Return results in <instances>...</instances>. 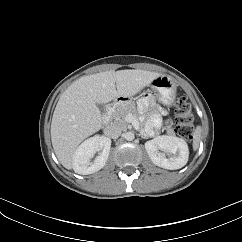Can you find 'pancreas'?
<instances>
[{
	"instance_id": "cf45deb5",
	"label": "pancreas",
	"mask_w": 242,
	"mask_h": 242,
	"mask_svg": "<svg viewBox=\"0 0 242 242\" xmlns=\"http://www.w3.org/2000/svg\"><path fill=\"white\" fill-rule=\"evenodd\" d=\"M128 114H132L135 118H137V111L134 103H128L121 106H117L113 110L111 117L114 120V123L119 124L122 127H126L125 118ZM167 133L174 134V131L173 129L168 127Z\"/></svg>"
}]
</instances>
